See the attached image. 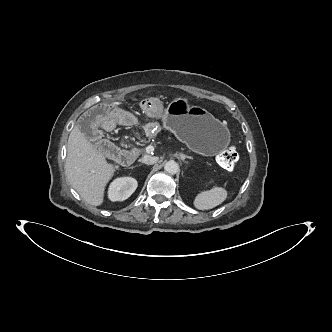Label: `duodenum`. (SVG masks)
Returning a JSON list of instances; mask_svg holds the SVG:
<instances>
[{"label": "duodenum", "mask_w": 332, "mask_h": 332, "mask_svg": "<svg viewBox=\"0 0 332 332\" xmlns=\"http://www.w3.org/2000/svg\"><path fill=\"white\" fill-rule=\"evenodd\" d=\"M118 159L123 165H129L133 162L134 156L129 151H121L118 154Z\"/></svg>", "instance_id": "duodenum-1"}]
</instances>
